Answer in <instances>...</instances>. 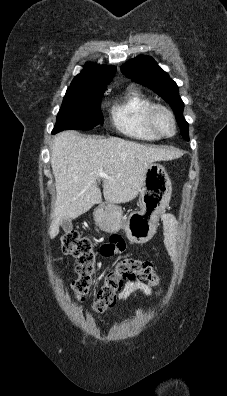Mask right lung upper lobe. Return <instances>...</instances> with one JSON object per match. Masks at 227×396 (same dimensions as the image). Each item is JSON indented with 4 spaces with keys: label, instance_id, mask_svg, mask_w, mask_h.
Here are the masks:
<instances>
[{
    "label": "right lung upper lobe",
    "instance_id": "obj_1",
    "mask_svg": "<svg viewBox=\"0 0 227 396\" xmlns=\"http://www.w3.org/2000/svg\"><path fill=\"white\" fill-rule=\"evenodd\" d=\"M115 72V66H98L87 63L81 73L74 78L71 86H91L106 89Z\"/></svg>",
    "mask_w": 227,
    "mask_h": 396
}]
</instances>
